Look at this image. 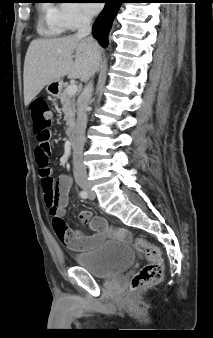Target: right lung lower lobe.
I'll use <instances>...</instances> for the list:
<instances>
[{"label":"right lung lower lobe","instance_id":"1","mask_svg":"<svg viewBox=\"0 0 213 338\" xmlns=\"http://www.w3.org/2000/svg\"><path fill=\"white\" fill-rule=\"evenodd\" d=\"M122 2L123 0H106L104 10L93 25V35L103 47L107 45V35Z\"/></svg>","mask_w":213,"mask_h":338}]
</instances>
